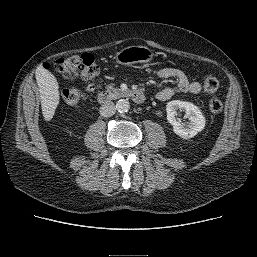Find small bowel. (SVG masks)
<instances>
[{
	"label": "small bowel",
	"mask_w": 257,
	"mask_h": 257,
	"mask_svg": "<svg viewBox=\"0 0 257 257\" xmlns=\"http://www.w3.org/2000/svg\"><path fill=\"white\" fill-rule=\"evenodd\" d=\"M157 75L163 79H175L176 87H166L156 93V98L160 101H166L172 98L177 92L198 94L202 86L197 81L190 80L184 72L177 68L163 67L157 70Z\"/></svg>",
	"instance_id": "1"
}]
</instances>
